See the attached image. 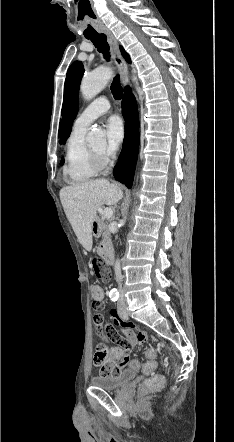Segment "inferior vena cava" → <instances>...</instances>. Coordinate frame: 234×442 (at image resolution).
Listing matches in <instances>:
<instances>
[{
	"label": "inferior vena cava",
	"instance_id": "602c4592",
	"mask_svg": "<svg viewBox=\"0 0 234 442\" xmlns=\"http://www.w3.org/2000/svg\"><path fill=\"white\" fill-rule=\"evenodd\" d=\"M114 271H115L116 281H117L118 286H119V291H120V294H121V298H123V295H122V284H121L123 276L121 274V265H120L119 259H117L115 261Z\"/></svg>",
	"mask_w": 234,
	"mask_h": 442
}]
</instances>
